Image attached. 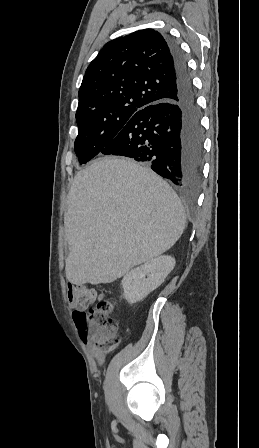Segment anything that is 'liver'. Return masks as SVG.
I'll return each mask as SVG.
<instances>
[{"label": "liver", "instance_id": "6515ba94", "mask_svg": "<svg viewBox=\"0 0 259 448\" xmlns=\"http://www.w3.org/2000/svg\"><path fill=\"white\" fill-rule=\"evenodd\" d=\"M185 210L174 190L131 158L106 156L74 176L65 214L71 284H110L179 240Z\"/></svg>", "mask_w": 259, "mask_h": 448}]
</instances>
